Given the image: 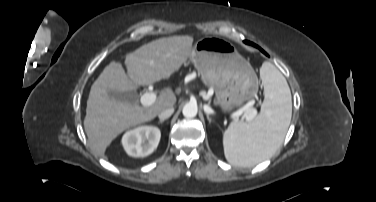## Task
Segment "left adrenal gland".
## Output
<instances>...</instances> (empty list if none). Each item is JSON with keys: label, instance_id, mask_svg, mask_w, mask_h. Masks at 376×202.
Segmentation results:
<instances>
[{"label": "left adrenal gland", "instance_id": "a2214340", "mask_svg": "<svg viewBox=\"0 0 376 202\" xmlns=\"http://www.w3.org/2000/svg\"><path fill=\"white\" fill-rule=\"evenodd\" d=\"M207 119H208L209 123H211V118L209 117V114H207Z\"/></svg>", "mask_w": 376, "mask_h": 202}]
</instances>
